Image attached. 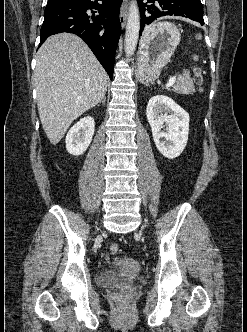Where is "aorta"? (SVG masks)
Here are the masks:
<instances>
[{
    "label": "aorta",
    "instance_id": "1",
    "mask_svg": "<svg viewBox=\"0 0 247 332\" xmlns=\"http://www.w3.org/2000/svg\"><path fill=\"white\" fill-rule=\"evenodd\" d=\"M140 16L136 0L131 1L125 33V52L133 55L139 38Z\"/></svg>",
    "mask_w": 247,
    "mask_h": 332
}]
</instances>
